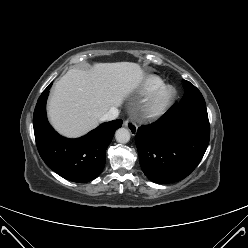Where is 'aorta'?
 Masks as SVG:
<instances>
[{"instance_id": "obj_1", "label": "aorta", "mask_w": 248, "mask_h": 248, "mask_svg": "<svg viewBox=\"0 0 248 248\" xmlns=\"http://www.w3.org/2000/svg\"><path fill=\"white\" fill-rule=\"evenodd\" d=\"M130 137V132L126 128H119L115 133V139L118 143H128Z\"/></svg>"}]
</instances>
